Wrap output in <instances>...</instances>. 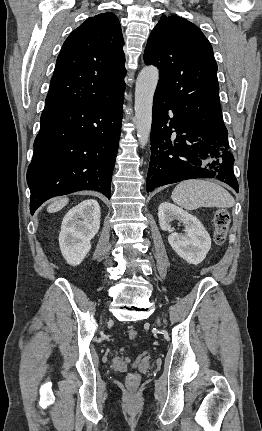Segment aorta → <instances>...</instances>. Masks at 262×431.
<instances>
[{
	"mask_svg": "<svg viewBox=\"0 0 262 431\" xmlns=\"http://www.w3.org/2000/svg\"><path fill=\"white\" fill-rule=\"evenodd\" d=\"M159 70L155 66L144 67L139 73L135 88V123L141 146L150 137L153 97L158 84Z\"/></svg>",
	"mask_w": 262,
	"mask_h": 431,
	"instance_id": "762f6f07",
	"label": "aorta"
}]
</instances>
